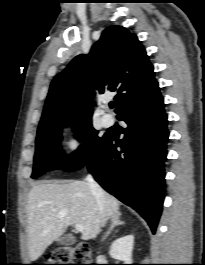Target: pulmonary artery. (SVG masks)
Wrapping results in <instances>:
<instances>
[{
  "instance_id": "1",
  "label": "pulmonary artery",
  "mask_w": 205,
  "mask_h": 265,
  "mask_svg": "<svg viewBox=\"0 0 205 265\" xmlns=\"http://www.w3.org/2000/svg\"><path fill=\"white\" fill-rule=\"evenodd\" d=\"M102 123L106 127L112 125V123H113V117L110 114H107V113L103 114V116H102Z\"/></svg>"
}]
</instances>
